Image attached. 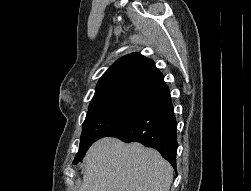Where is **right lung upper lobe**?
<instances>
[{
  "label": "right lung upper lobe",
  "instance_id": "cb5924a9",
  "mask_svg": "<svg viewBox=\"0 0 251 191\" xmlns=\"http://www.w3.org/2000/svg\"><path fill=\"white\" fill-rule=\"evenodd\" d=\"M169 91L154 62L139 53L118 59L100 78L89 108L124 104L141 109Z\"/></svg>",
  "mask_w": 251,
  "mask_h": 191
}]
</instances>
